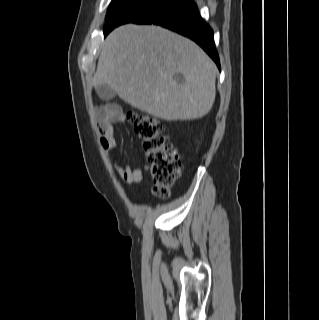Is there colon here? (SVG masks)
<instances>
[{
  "label": "colon",
  "instance_id": "5ec220e1",
  "mask_svg": "<svg viewBox=\"0 0 319 320\" xmlns=\"http://www.w3.org/2000/svg\"><path fill=\"white\" fill-rule=\"evenodd\" d=\"M129 120L144 145L153 194L168 197L175 181L182 174L183 160L177 148L167 141L162 124L146 114H131Z\"/></svg>",
  "mask_w": 319,
  "mask_h": 320
}]
</instances>
